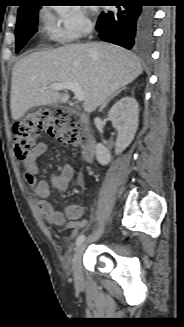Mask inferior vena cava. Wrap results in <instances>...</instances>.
I'll return each mask as SVG.
<instances>
[{
	"mask_svg": "<svg viewBox=\"0 0 184 327\" xmlns=\"http://www.w3.org/2000/svg\"><path fill=\"white\" fill-rule=\"evenodd\" d=\"M86 31L87 33H90L92 31V27L91 26L87 27Z\"/></svg>",
	"mask_w": 184,
	"mask_h": 327,
	"instance_id": "obj_1",
	"label": "inferior vena cava"
}]
</instances>
